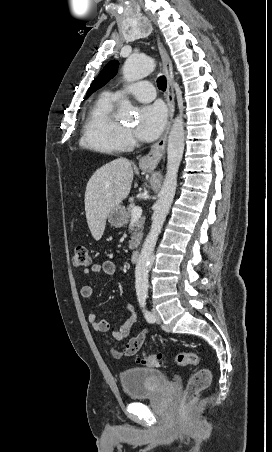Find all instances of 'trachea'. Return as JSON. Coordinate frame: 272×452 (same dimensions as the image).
Instances as JSON below:
<instances>
[{"label":"trachea","instance_id":"obj_1","mask_svg":"<svg viewBox=\"0 0 272 452\" xmlns=\"http://www.w3.org/2000/svg\"><path fill=\"white\" fill-rule=\"evenodd\" d=\"M157 86L160 90L165 91L167 86V81L165 76H160L157 80Z\"/></svg>","mask_w":272,"mask_h":452}]
</instances>
